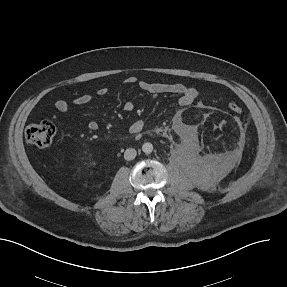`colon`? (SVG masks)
Wrapping results in <instances>:
<instances>
[{"label":"colon","instance_id":"1","mask_svg":"<svg viewBox=\"0 0 287 287\" xmlns=\"http://www.w3.org/2000/svg\"><path fill=\"white\" fill-rule=\"evenodd\" d=\"M233 113H240L242 106L237 101H232L228 105ZM55 126L50 121H41L31 124L25 132L26 140L40 149L48 148L54 139Z\"/></svg>","mask_w":287,"mask_h":287}]
</instances>
